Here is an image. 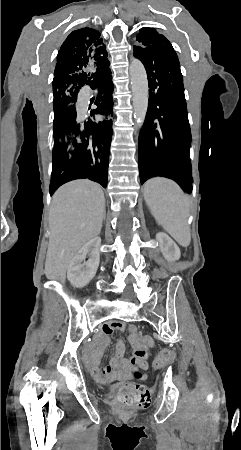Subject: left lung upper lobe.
<instances>
[{
  "label": "left lung upper lobe",
  "instance_id": "5c2ea615",
  "mask_svg": "<svg viewBox=\"0 0 241 450\" xmlns=\"http://www.w3.org/2000/svg\"><path fill=\"white\" fill-rule=\"evenodd\" d=\"M139 45L134 46L133 49L141 54L155 56L161 53L169 44V41L154 28L143 27L140 29L139 35L136 38Z\"/></svg>",
  "mask_w": 241,
  "mask_h": 450
}]
</instances>
